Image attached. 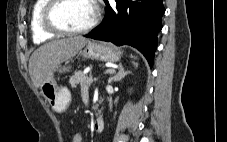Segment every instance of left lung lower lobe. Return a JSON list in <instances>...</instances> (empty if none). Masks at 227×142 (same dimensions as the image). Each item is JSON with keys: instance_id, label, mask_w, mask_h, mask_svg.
I'll return each instance as SVG.
<instances>
[{"instance_id": "left-lung-lower-lobe-1", "label": "left lung lower lobe", "mask_w": 227, "mask_h": 142, "mask_svg": "<svg viewBox=\"0 0 227 142\" xmlns=\"http://www.w3.org/2000/svg\"><path fill=\"white\" fill-rule=\"evenodd\" d=\"M116 6L106 5L104 22L85 35L118 46L137 48L153 65L157 35L162 29L165 13L163 0H115Z\"/></svg>"}]
</instances>
